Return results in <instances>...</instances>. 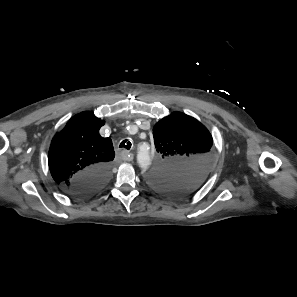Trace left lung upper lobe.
<instances>
[{"label": "left lung upper lobe", "mask_w": 297, "mask_h": 297, "mask_svg": "<svg viewBox=\"0 0 297 297\" xmlns=\"http://www.w3.org/2000/svg\"><path fill=\"white\" fill-rule=\"evenodd\" d=\"M158 164L149 182L172 197L190 194L207 178L212 166V136L198 120L181 112L161 119L153 128Z\"/></svg>", "instance_id": "obj_1"}]
</instances>
